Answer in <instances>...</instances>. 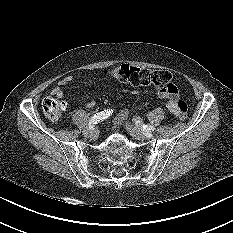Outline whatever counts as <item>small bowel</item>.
I'll return each mask as SVG.
<instances>
[{"label":"small bowel","instance_id":"small-bowel-1","mask_svg":"<svg viewBox=\"0 0 233 233\" xmlns=\"http://www.w3.org/2000/svg\"><path fill=\"white\" fill-rule=\"evenodd\" d=\"M72 79H73V77L70 75L61 79L58 83V86L54 87L51 90V94L56 96L57 98H63L64 92H63L62 87L67 85L68 83H70L72 81ZM156 94L160 98L166 99L167 100V103H166L167 108L174 115L178 116L177 103L179 101V96H178L177 90L175 92H169L166 90H157ZM87 106H92V102L87 103ZM126 116H127V110L126 109L121 110L120 113L115 118L114 123L116 125H119L126 118Z\"/></svg>","mask_w":233,"mask_h":233}]
</instances>
